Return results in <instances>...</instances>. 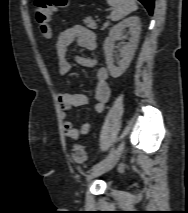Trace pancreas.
I'll return each mask as SVG.
<instances>
[{
    "mask_svg": "<svg viewBox=\"0 0 188 213\" xmlns=\"http://www.w3.org/2000/svg\"><path fill=\"white\" fill-rule=\"evenodd\" d=\"M83 23L91 29H97V24H96L95 20H93L91 17H86L83 20Z\"/></svg>",
    "mask_w": 188,
    "mask_h": 213,
    "instance_id": "cf45deb5",
    "label": "pancreas"
}]
</instances>
